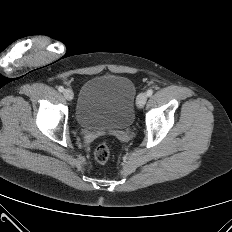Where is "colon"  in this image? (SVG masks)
Here are the masks:
<instances>
[{"mask_svg": "<svg viewBox=\"0 0 232 232\" xmlns=\"http://www.w3.org/2000/svg\"><path fill=\"white\" fill-rule=\"evenodd\" d=\"M95 159L100 163H105L110 158V149L106 144H100L96 147L94 151Z\"/></svg>", "mask_w": 232, "mask_h": 232, "instance_id": "colon-1", "label": "colon"}]
</instances>
